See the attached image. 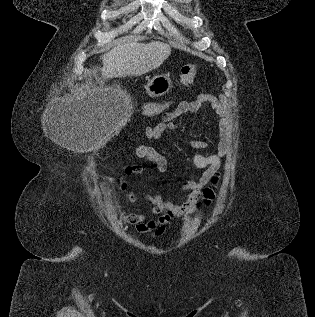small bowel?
<instances>
[{
  "instance_id": "c3829d8e",
  "label": "small bowel",
  "mask_w": 315,
  "mask_h": 317,
  "mask_svg": "<svg viewBox=\"0 0 315 317\" xmlns=\"http://www.w3.org/2000/svg\"><path fill=\"white\" fill-rule=\"evenodd\" d=\"M205 104H208L220 116L217 122L219 141L215 151L208 155L194 154L192 156L193 165L205 169V171L198 181L185 180L182 182L181 191L189 192V197L183 204L167 201L158 192L126 194L125 198L129 202L144 200L151 205V210L147 214L126 213L123 215V222L131 224L135 232L158 238L165 233L168 224L174 218L181 217L199 207L202 203L201 200L204 204H209L214 198L221 159L228 154L230 148V120L226 109L217 99L207 94H200L193 101H183L172 111L164 113L159 123L147 127L144 134L151 140L160 141L165 131L178 128L176 120L180 116L185 113H197ZM190 146L194 149L209 148L206 141L198 139L191 140ZM135 155L145 162L153 164L159 172L163 173L168 169L165 156L151 146L139 145L135 150ZM124 174L126 176L143 175L144 168L138 164L129 165L125 167ZM210 183L213 184L212 187H209ZM126 189L127 184L123 182L121 190L126 191ZM151 216H157V218L150 219Z\"/></svg>"
}]
</instances>
